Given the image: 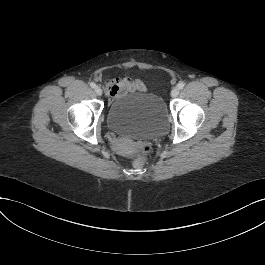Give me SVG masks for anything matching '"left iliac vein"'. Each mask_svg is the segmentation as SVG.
I'll use <instances>...</instances> for the list:
<instances>
[{
    "label": "left iliac vein",
    "mask_w": 265,
    "mask_h": 265,
    "mask_svg": "<svg viewBox=\"0 0 265 265\" xmlns=\"http://www.w3.org/2000/svg\"><path fill=\"white\" fill-rule=\"evenodd\" d=\"M178 94H179V88L178 87L173 88L171 91V96L174 98L177 97Z\"/></svg>",
    "instance_id": "4c4485c4"
}]
</instances>
